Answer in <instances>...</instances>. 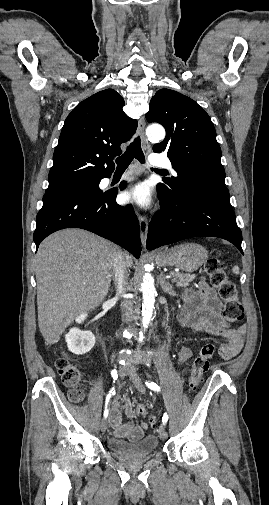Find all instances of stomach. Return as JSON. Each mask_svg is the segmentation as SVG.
Here are the masks:
<instances>
[{
  "label": "stomach",
  "instance_id": "1",
  "mask_svg": "<svg viewBox=\"0 0 269 505\" xmlns=\"http://www.w3.org/2000/svg\"><path fill=\"white\" fill-rule=\"evenodd\" d=\"M208 258V251L196 243H184L155 253V262L161 267L174 266L185 272L196 271Z\"/></svg>",
  "mask_w": 269,
  "mask_h": 505
}]
</instances>
